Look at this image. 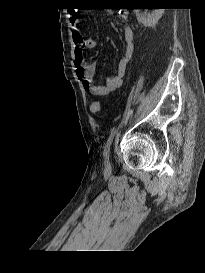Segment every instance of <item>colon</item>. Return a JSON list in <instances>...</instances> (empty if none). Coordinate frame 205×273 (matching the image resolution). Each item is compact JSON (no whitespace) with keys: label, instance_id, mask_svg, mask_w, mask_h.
Masks as SVG:
<instances>
[{"label":"colon","instance_id":"1","mask_svg":"<svg viewBox=\"0 0 205 273\" xmlns=\"http://www.w3.org/2000/svg\"><path fill=\"white\" fill-rule=\"evenodd\" d=\"M91 112L98 115L101 111V104L99 101H94L90 106Z\"/></svg>","mask_w":205,"mask_h":273}]
</instances>
